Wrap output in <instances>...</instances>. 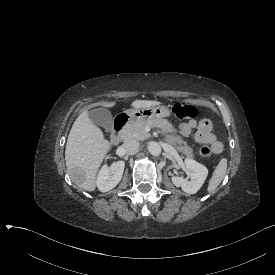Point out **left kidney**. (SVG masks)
<instances>
[{
    "mask_svg": "<svg viewBox=\"0 0 275 275\" xmlns=\"http://www.w3.org/2000/svg\"><path fill=\"white\" fill-rule=\"evenodd\" d=\"M185 165L189 170L191 181H188L182 177L173 176L172 182L176 187H181L184 192L194 194L203 185L208 175V169L191 158L185 159Z\"/></svg>",
    "mask_w": 275,
    "mask_h": 275,
    "instance_id": "obj_1",
    "label": "left kidney"
}]
</instances>
